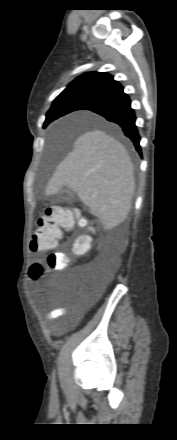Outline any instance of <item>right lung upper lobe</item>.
Masks as SVG:
<instances>
[{
	"label": "right lung upper lobe",
	"mask_w": 177,
	"mask_h": 440,
	"mask_svg": "<svg viewBox=\"0 0 177 440\" xmlns=\"http://www.w3.org/2000/svg\"><path fill=\"white\" fill-rule=\"evenodd\" d=\"M122 90L123 87L110 74L105 72H88L77 77L62 93L74 92L98 101ZM51 119L52 117L48 112L45 124L51 121Z\"/></svg>",
	"instance_id": "right-lung-upper-lobe-1"
}]
</instances>
